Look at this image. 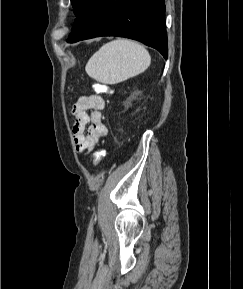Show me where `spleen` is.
<instances>
[{"instance_id": "spleen-1", "label": "spleen", "mask_w": 243, "mask_h": 289, "mask_svg": "<svg viewBox=\"0 0 243 289\" xmlns=\"http://www.w3.org/2000/svg\"><path fill=\"white\" fill-rule=\"evenodd\" d=\"M150 63V54L142 45L128 39H117L94 53L85 70L94 80L113 85L144 72Z\"/></svg>"}]
</instances>
